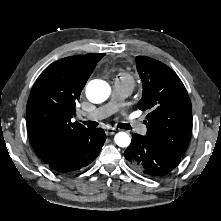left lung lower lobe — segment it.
Returning a JSON list of instances; mask_svg holds the SVG:
<instances>
[{"mask_svg": "<svg viewBox=\"0 0 221 221\" xmlns=\"http://www.w3.org/2000/svg\"><path fill=\"white\" fill-rule=\"evenodd\" d=\"M124 156L135 169L150 177L169 173L181 161V157L174 155L146 136L138 134L133 135Z\"/></svg>", "mask_w": 221, "mask_h": 221, "instance_id": "0a47b994", "label": "left lung lower lobe"}]
</instances>
